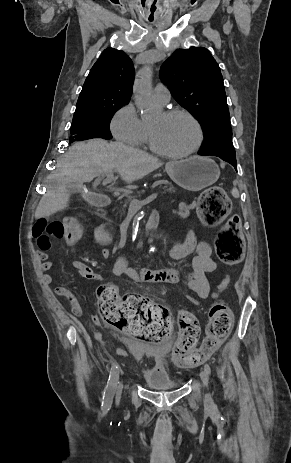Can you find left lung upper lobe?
I'll list each match as a JSON object with an SVG mask.
<instances>
[{"mask_svg": "<svg viewBox=\"0 0 291 463\" xmlns=\"http://www.w3.org/2000/svg\"><path fill=\"white\" fill-rule=\"evenodd\" d=\"M160 74L174 99L201 124L205 138L199 152L236 157L222 74L209 50L177 49Z\"/></svg>", "mask_w": 291, "mask_h": 463, "instance_id": "1", "label": "left lung upper lobe"}]
</instances>
